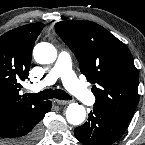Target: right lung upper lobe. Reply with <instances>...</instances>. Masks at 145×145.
Listing matches in <instances>:
<instances>
[{
    "instance_id": "right-lung-upper-lobe-1",
    "label": "right lung upper lobe",
    "mask_w": 145,
    "mask_h": 145,
    "mask_svg": "<svg viewBox=\"0 0 145 145\" xmlns=\"http://www.w3.org/2000/svg\"><path fill=\"white\" fill-rule=\"evenodd\" d=\"M44 25L27 24L0 36V115L33 106L39 100L19 95L29 74L34 43Z\"/></svg>"
}]
</instances>
